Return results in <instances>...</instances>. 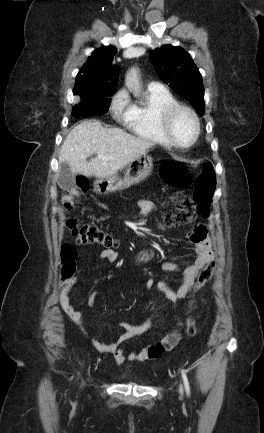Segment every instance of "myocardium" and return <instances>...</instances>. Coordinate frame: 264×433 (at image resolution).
<instances>
[{"instance_id":"myocardium-1","label":"myocardium","mask_w":264,"mask_h":433,"mask_svg":"<svg viewBox=\"0 0 264 433\" xmlns=\"http://www.w3.org/2000/svg\"><path fill=\"white\" fill-rule=\"evenodd\" d=\"M179 112H186L188 113L195 124V134L192 138V140L187 143V144H181L179 143L175 137L172 134L171 131V125H172V121L174 119V117L179 113ZM160 124H161V129L166 137V139L168 140V142L174 146V147H178V148H188L193 146L201 133V123H200V119L198 117V115L196 114V112L190 108L187 105L184 104H180V103H176L173 105H170L166 108H164L160 114Z\"/></svg>"}]
</instances>
